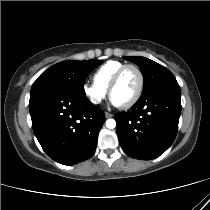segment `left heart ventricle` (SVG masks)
Listing matches in <instances>:
<instances>
[{
    "label": "left heart ventricle",
    "mask_w": 210,
    "mask_h": 210,
    "mask_svg": "<svg viewBox=\"0 0 210 210\" xmlns=\"http://www.w3.org/2000/svg\"><path fill=\"white\" fill-rule=\"evenodd\" d=\"M138 87L139 75L134 69L129 68L123 72L117 86L112 92L111 98L119 105L125 104L134 97Z\"/></svg>",
    "instance_id": "left-heart-ventricle-1"
}]
</instances>
